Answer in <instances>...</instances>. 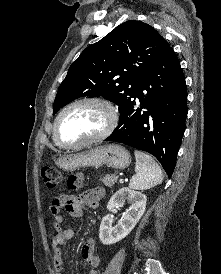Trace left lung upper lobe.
<instances>
[{"instance_id": "1", "label": "left lung upper lobe", "mask_w": 221, "mask_h": 274, "mask_svg": "<svg viewBox=\"0 0 221 274\" xmlns=\"http://www.w3.org/2000/svg\"><path fill=\"white\" fill-rule=\"evenodd\" d=\"M170 47L150 25L129 20L87 47L59 86L53 114L82 96H102L119 106L135 95L140 77Z\"/></svg>"}]
</instances>
